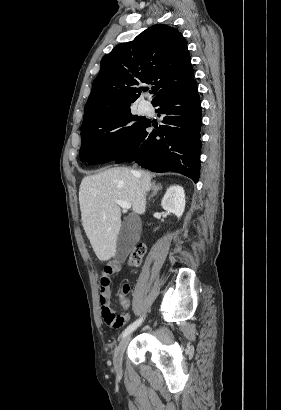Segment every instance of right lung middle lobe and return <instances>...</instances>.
Wrapping results in <instances>:
<instances>
[{
	"label": "right lung middle lobe",
	"instance_id": "right-lung-middle-lobe-1",
	"mask_svg": "<svg viewBox=\"0 0 281 410\" xmlns=\"http://www.w3.org/2000/svg\"><path fill=\"white\" fill-rule=\"evenodd\" d=\"M147 120L132 115L130 107L108 112L82 124L80 159L89 164L116 159L142 130Z\"/></svg>",
	"mask_w": 281,
	"mask_h": 410
}]
</instances>
